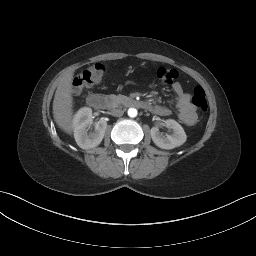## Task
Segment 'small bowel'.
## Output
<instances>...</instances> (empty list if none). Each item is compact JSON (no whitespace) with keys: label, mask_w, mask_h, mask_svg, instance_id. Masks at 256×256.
Instances as JSON below:
<instances>
[{"label":"small bowel","mask_w":256,"mask_h":256,"mask_svg":"<svg viewBox=\"0 0 256 256\" xmlns=\"http://www.w3.org/2000/svg\"><path fill=\"white\" fill-rule=\"evenodd\" d=\"M172 90L176 96L180 120L188 126L194 125L197 121V113L195 106L191 103L190 95L183 90L179 82L173 83ZM151 111L160 116L170 115V110L162 105L152 106Z\"/></svg>","instance_id":"c3829d8e"}]
</instances>
